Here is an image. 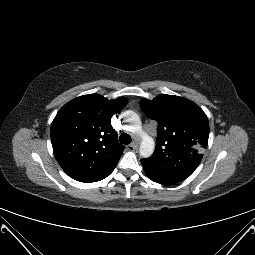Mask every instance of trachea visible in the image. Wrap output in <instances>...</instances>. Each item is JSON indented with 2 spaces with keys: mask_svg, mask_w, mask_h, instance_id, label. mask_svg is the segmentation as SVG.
<instances>
[{
  "mask_svg": "<svg viewBox=\"0 0 255 255\" xmlns=\"http://www.w3.org/2000/svg\"><path fill=\"white\" fill-rule=\"evenodd\" d=\"M120 142L122 143V144H130L131 143V137H130V135L129 134H127V133H122L121 135H120Z\"/></svg>",
  "mask_w": 255,
  "mask_h": 255,
  "instance_id": "3493384b",
  "label": "trachea"
}]
</instances>
